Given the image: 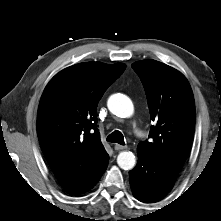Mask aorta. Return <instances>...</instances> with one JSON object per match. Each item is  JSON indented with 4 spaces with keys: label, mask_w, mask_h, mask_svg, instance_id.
I'll return each mask as SVG.
<instances>
[{
    "label": "aorta",
    "mask_w": 221,
    "mask_h": 221,
    "mask_svg": "<svg viewBox=\"0 0 221 221\" xmlns=\"http://www.w3.org/2000/svg\"><path fill=\"white\" fill-rule=\"evenodd\" d=\"M107 106L112 114L121 118L130 117L134 112V106L130 98L119 93L109 97ZM117 163L121 169L131 170L136 164V159L132 152L123 151L119 153Z\"/></svg>",
    "instance_id": "762f6f07"
}]
</instances>
